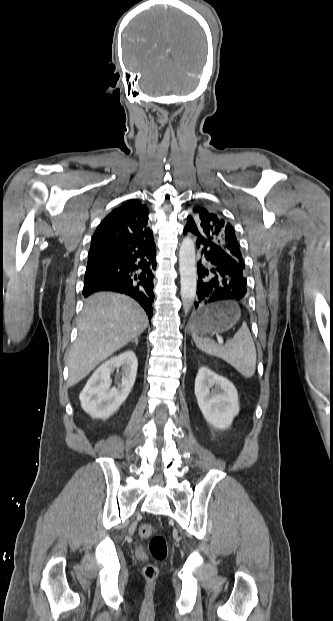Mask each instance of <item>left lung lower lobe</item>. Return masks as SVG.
I'll list each match as a JSON object with an SVG mask.
<instances>
[{
	"instance_id": "0a47b994",
	"label": "left lung lower lobe",
	"mask_w": 333,
	"mask_h": 621,
	"mask_svg": "<svg viewBox=\"0 0 333 621\" xmlns=\"http://www.w3.org/2000/svg\"><path fill=\"white\" fill-rule=\"evenodd\" d=\"M188 233L200 249L197 268L198 301L195 306L219 300L246 302L247 280L243 273L244 268L224 249L199 234L197 230L185 227L184 234Z\"/></svg>"
}]
</instances>
